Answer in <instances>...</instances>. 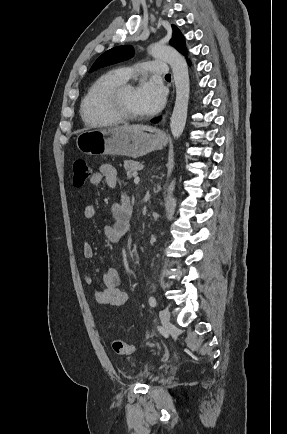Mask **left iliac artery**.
I'll return each instance as SVG.
<instances>
[{"label": "left iliac artery", "mask_w": 287, "mask_h": 434, "mask_svg": "<svg viewBox=\"0 0 287 434\" xmlns=\"http://www.w3.org/2000/svg\"><path fill=\"white\" fill-rule=\"evenodd\" d=\"M156 304H157L156 299H155L153 296H151V297L149 298V305H150L151 307H155Z\"/></svg>", "instance_id": "left-iliac-artery-1"}]
</instances>
